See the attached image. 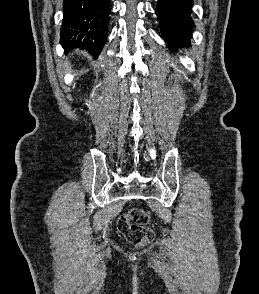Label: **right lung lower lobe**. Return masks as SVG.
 Wrapping results in <instances>:
<instances>
[{
  "label": "right lung lower lobe",
  "mask_w": 259,
  "mask_h": 294,
  "mask_svg": "<svg viewBox=\"0 0 259 294\" xmlns=\"http://www.w3.org/2000/svg\"><path fill=\"white\" fill-rule=\"evenodd\" d=\"M60 43L66 49H87L97 57L108 34L110 0H64Z\"/></svg>",
  "instance_id": "obj_1"
}]
</instances>
